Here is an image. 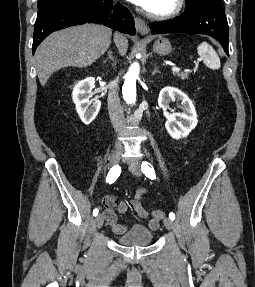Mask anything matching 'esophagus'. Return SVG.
I'll list each match as a JSON object with an SVG mask.
<instances>
[{"mask_svg":"<svg viewBox=\"0 0 255 287\" xmlns=\"http://www.w3.org/2000/svg\"><path fill=\"white\" fill-rule=\"evenodd\" d=\"M135 26L137 29V32H139L141 35H147L149 30L147 24L142 20V18L135 17Z\"/></svg>","mask_w":255,"mask_h":287,"instance_id":"esophagus-1","label":"esophagus"}]
</instances>
